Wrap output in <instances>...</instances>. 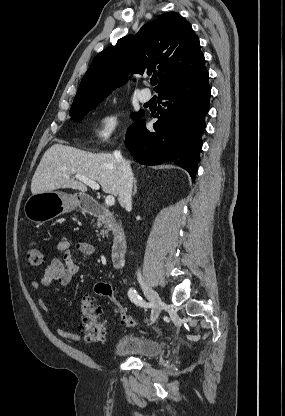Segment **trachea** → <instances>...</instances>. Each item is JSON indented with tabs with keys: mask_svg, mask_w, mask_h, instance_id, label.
<instances>
[{
	"mask_svg": "<svg viewBox=\"0 0 285 416\" xmlns=\"http://www.w3.org/2000/svg\"><path fill=\"white\" fill-rule=\"evenodd\" d=\"M151 84L152 85H156L157 84V77H152L151 78Z\"/></svg>",
	"mask_w": 285,
	"mask_h": 416,
	"instance_id": "obj_1",
	"label": "trachea"
}]
</instances>
